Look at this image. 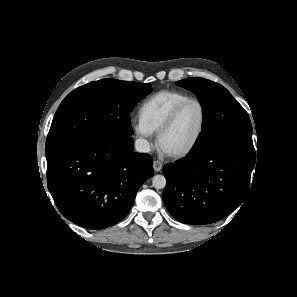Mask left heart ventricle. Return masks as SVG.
<instances>
[{"label":"left heart ventricle","instance_id":"left-heart-ventricle-1","mask_svg":"<svg viewBox=\"0 0 297 297\" xmlns=\"http://www.w3.org/2000/svg\"><path fill=\"white\" fill-rule=\"evenodd\" d=\"M201 122V110L196 103L188 104L175 124L161 139V147L167 152H176L187 147L195 137Z\"/></svg>","mask_w":297,"mask_h":297}]
</instances>
